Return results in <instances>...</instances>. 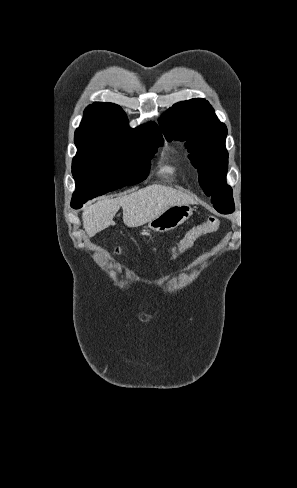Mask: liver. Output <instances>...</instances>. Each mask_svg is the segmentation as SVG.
<instances>
[{"label":"liver","instance_id":"1","mask_svg":"<svg viewBox=\"0 0 297 488\" xmlns=\"http://www.w3.org/2000/svg\"><path fill=\"white\" fill-rule=\"evenodd\" d=\"M193 203L186 193L168 186L149 185L118 198L104 199L86 207L82 214L83 227L92 237L115 225L113 218L123 209V221L128 227L141 226L176 204Z\"/></svg>","mask_w":297,"mask_h":488}]
</instances>
